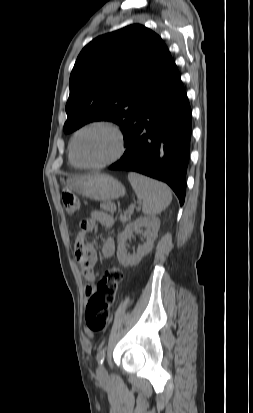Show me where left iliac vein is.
Masks as SVG:
<instances>
[{
	"label": "left iliac vein",
	"instance_id": "obj_1",
	"mask_svg": "<svg viewBox=\"0 0 253 413\" xmlns=\"http://www.w3.org/2000/svg\"><path fill=\"white\" fill-rule=\"evenodd\" d=\"M107 376V371L103 364H100L97 368V377L99 379H104Z\"/></svg>",
	"mask_w": 253,
	"mask_h": 413
}]
</instances>
